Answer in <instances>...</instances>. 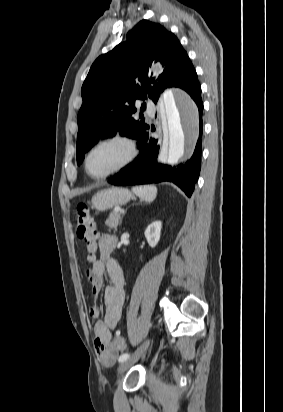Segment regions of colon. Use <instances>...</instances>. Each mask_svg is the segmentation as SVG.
Instances as JSON below:
<instances>
[{"label":"colon","instance_id":"colon-1","mask_svg":"<svg viewBox=\"0 0 283 412\" xmlns=\"http://www.w3.org/2000/svg\"><path fill=\"white\" fill-rule=\"evenodd\" d=\"M74 227L76 235L81 239L89 251H94L97 248L96 233L94 230V221L90 213V209L86 204H79L73 215ZM126 349V342L120 335H116L109 346L104 348L106 355L113 352H119Z\"/></svg>","mask_w":283,"mask_h":412}]
</instances>
